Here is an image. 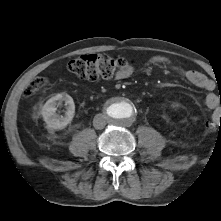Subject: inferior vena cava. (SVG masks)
I'll return each instance as SVG.
<instances>
[{
    "label": "inferior vena cava",
    "instance_id": "602c4592",
    "mask_svg": "<svg viewBox=\"0 0 221 221\" xmlns=\"http://www.w3.org/2000/svg\"><path fill=\"white\" fill-rule=\"evenodd\" d=\"M106 116L103 114H97L93 119V126L95 129H102L106 125Z\"/></svg>",
    "mask_w": 221,
    "mask_h": 221
}]
</instances>
